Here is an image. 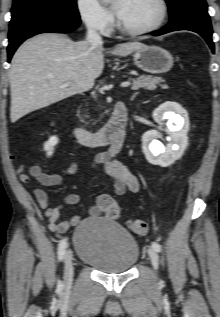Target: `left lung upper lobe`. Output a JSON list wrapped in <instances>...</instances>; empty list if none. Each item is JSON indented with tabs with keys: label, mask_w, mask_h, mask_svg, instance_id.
I'll use <instances>...</instances> for the list:
<instances>
[{
	"label": "left lung upper lobe",
	"mask_w": 220,
	"mask_h": 317,
	"mask_svg": "<svg viewBox=\"0 0 220 317\" xmlns=\"http://www.w3.org/2000/svg\"><path fill=\"white\" fill-rule=\"evenodd\" d=\"M193 1L206 3L204 0H166L170 17L176 16L188 3Z\"/></svg>",
	"instance_id": "5c2ea615"
}]
</instances>
